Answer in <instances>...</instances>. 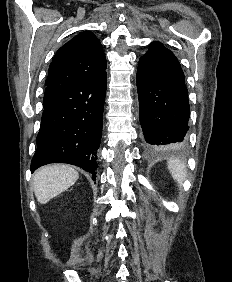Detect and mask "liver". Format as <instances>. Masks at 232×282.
Masks as SVG:
<instances>
[{"label":"liver","instance_id":"obj_1","mask_svg":"<svg viewBox=\"0 0 232 282\" xmlns=\"http://www.w3.org/2000/svg\"><path fill=\"white\" fill-rule=\"evenodd\" d=\"M78 178V172L69 165L52 164L38 169L33 176V190L37 201L47 203L71 187Z\"/></svg>","mask_w":232,"mask_h":282}]
</instances>
